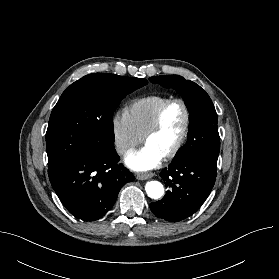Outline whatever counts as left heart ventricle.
Wrapping results in <instances>:
<instances>
[{"label": "left heart ventricle", "instance_id": "b2bd125f", "mask_svg": "<svg viewBox=\"0 0 279 279\" xmlns=\"http://www.w3.org/2000/svg\"><path fill=\"white\" fill-rule=\"evenodd\" d=\"M185 114L179 103L170 105L165 111L160 128L147 140L162 156L166 155L178 141L184 126Z\"/></svg>", "mask_w": 279, "mask_h": 279}]
</instances>
